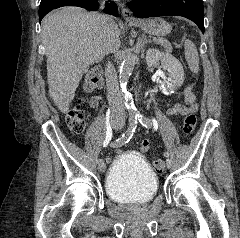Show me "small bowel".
Returning a JSON list of instances; mask_svg holds the SVG:
<instances>
[{"label":"small bowel","instance_id":"1","mask_svg":"<svg viewBox=\"0 0 240 238\" xmlns=\"http://www.w3.org/2000/svg\"><path fill=\"white\" fill-rule=\"evenodd\" d=\"M99 102H100V98L95 97L90 101V106L93 109H98L99 108ZM197 109H198V104L197 103H194V104L188 105V106H186L182 103H176L173 106H171L167 110V112H168L169 115L177 116V115H186L190 112L195 113L197 111ZM149 147H150V142L148 140H144L141 143V146H140V149H141L140 153L141 154H148V148ZM122 153H123V150H122L121 146H116L115 149H112V154H122ZM102 158L106 159L108 166L112 165L113 158L111 157L110 154H103Z\"/></svg>","mask_w":240,"mask_h":238}]
</instances>
